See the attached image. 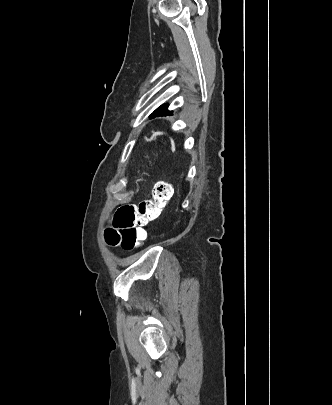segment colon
Returning a JSON list of instances; mask_svg holds the SVG:
<instances>
[{"label":"colon","instance_id":"5ec220e1","mask_svg":"<svg viewBox=\"0 0 332 405\" xmlns=\"http://www.w3.org/2000/svg\"><path fill=\"white\" fill-rule=\"evenodd\" d=\"M172 187L159 181L152 191V198L143 200L137 205L124 206L119 211L118 223L122 230L121 246L132 250L142 246L147 239V224L157 219L170 198ZM109 234H104V243H109L110 249H117L120 240L117 227H110Z\"/></svg>","mask_w":332,"mask_h":405}]
</instances>
